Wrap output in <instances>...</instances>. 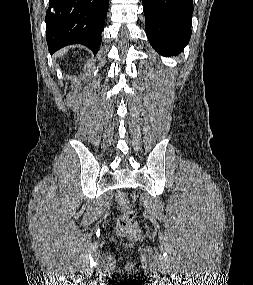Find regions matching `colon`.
Instances as JSON below:
<instances>
[{"mask_svg": "<svg viewBox=\"0 0 253 285\" xmlns=\"http://www.w3.org/2000/svg\"><path fill=\"white\" fill-rule=\"evenodd\" d=\"M117 204L120 210V215L116 220L117 233L127 239H135L140 234V228L134 221L135 213L131 208L130 199L126 193L120 192L117 197Z\"/></svg>", "mask_w": 253, "mask_h": 285, "instance_id": "1", "label": "colon"}]
</instances>
